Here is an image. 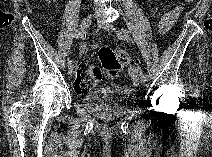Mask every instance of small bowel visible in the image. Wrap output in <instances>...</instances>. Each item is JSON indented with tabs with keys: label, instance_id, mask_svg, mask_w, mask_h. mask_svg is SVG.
<instances>
[{
	"label": "small bowel",
	"instance_id": "small-bowel-1",
	"mask_svg": "<svg viewBox=\"0 0 212 157\" xmlns=\"http://www.w3.org/2000/svg\"><path fill=\"white\" fill-rule=\"evenodd\" d=\"M178 14H179V9H175V10L169 12L168 14H166V15L162 18V20H161V22H160V29H161V31H162L163 33L167 32V31L171 28L173 22H174L175 19L178 17ZM88 51H89V49H88L86 46H81V49H80V53H81V54H85V53H87ZM88 65H89L88 62H86V61H84V62H82V63L80 64V66L83 67V68L86 67V66H88ZM129 76H130L132 79H135L137 75H136V73H134L132 70H130V71H129Z\"/></svg>",
	"mask_w": 212,
	"mask_h": 157
}]
</instances>
